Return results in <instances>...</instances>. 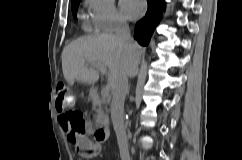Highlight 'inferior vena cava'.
<instances>
[{"instance_id": "inferior-vena-cava-1", "label": "inferior vena cava", "mask_w": 242, "mask_h": 160, "mask_svg": "<svg viewBox=\"0 0 242 160\" xmlns=\"http://www.w3.org/2000/svg\"><path fill=\"white\" fill-rule=\"evenodd\" d=\"M116 36L128 50V56L134 57L136 44L131 39L130 29L126 23H119L116 27ZM135 58H126L123 68L117 74V81L113 87L111 118L116 133L121 160H130L128 140L124 127V101L128 89V81H132L134 73H139Z\"/></svg>"}]
</instances>
